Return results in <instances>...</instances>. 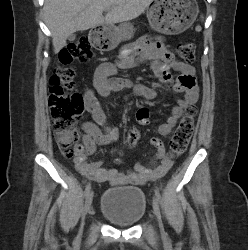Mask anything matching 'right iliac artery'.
<instances>
[{"label":"right iliac artery","mask_w":248,"mask_h":250,"mask_svg":"<svg viewBox=\"0 0 248 250\" xmlns=\"http://www.w3.org/2000/svg\"><path fill=\"white\" fill-rule=\"evenodd\" d=\"M90 189H91V183L88 182L86 187H85V191H84L85 196L89 193Z\"/></svg>","instance_id":"82829eb1"}]
</instances>
